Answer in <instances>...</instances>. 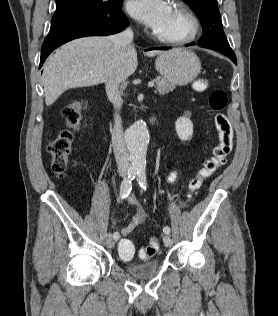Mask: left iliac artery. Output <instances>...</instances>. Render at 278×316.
Returning a JSON list of instances; mask_svg holds the SVG:
<instances>
[{
    "label": "left iliac artery",
    "instance_id": "1",
    "mask_svg": "<svg viewBox=\"0 0 278 316\" xmlns=\"http://www.w3.org/2000/svg\"><path fill=\"white\" fill-rule=\"evenodd\" d=\"M137 181L140 185V187L143 189V190H146L147 189V179H146V172H145V168L144 167H140L138 169V172H137ZM163 232L165 234H169L170 233V228L168 226H165L163 228Z\"/></svg>",
    "mask_w": 278,
    "mask_h": 316
}]
</instances>
